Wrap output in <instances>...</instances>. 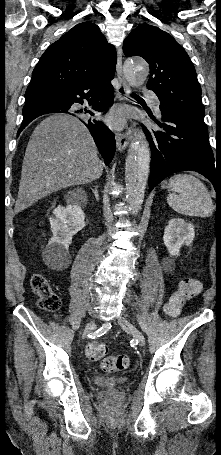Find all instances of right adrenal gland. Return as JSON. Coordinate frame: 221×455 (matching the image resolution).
Segmentation results:
<instances>
[{
	"label": "right adrenal gland",
	"instance_id": "1",
	"mask_svg": "<svg viewBox=\"0 0 221 455\" xmlns=\"http://www.w3.org/2000/svg\"><path fill=\"white\" fill-rule=\"evenodd\" d=\"M94 195H95V198L97 201H99V195H98V186H95L94 189H92Z\"/></svg>",
	"mask_w": 221,
	"mask_h": 455
}]
</instances>
